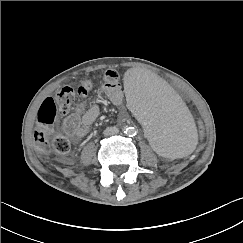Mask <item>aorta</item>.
<instances>
[{
    "label": "aorta",
    "mask_w": 243,
    "mask_h": 243,
    "mask_svg": "<svg viewBox=\"0 0 243 243\" xmlns=\"http://www.w3.org/2000/svg\"><path fill=\"white\" fill-rule=\"evenodd\" d=\"M125 132L128 134V135H132L134 133V129L132 127H128L125 129Z\"/></svg>",
    "instance_id": "1"
}]
</instances>
